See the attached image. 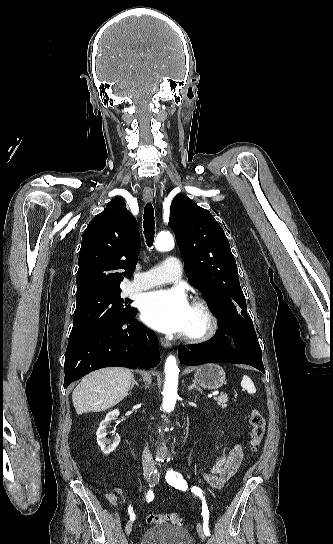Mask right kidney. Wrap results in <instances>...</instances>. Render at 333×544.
<instances>
[{
	"label": "right kidney",
	"mask_w": 333,
	"mask_h": 544,
	"mask_svg": "<svg viewBox=\"0 0 333 544\" xmlns=\"http://www.w3.org/2000/svg\"><path fill=\"white\" fill-rule=\"evenodd\" d=\"M118 416H119V410L117 409L112 410L111 412H108L105 419L100 423V426L96 432L97 443L100 446L101 451L105 455H108L112 451H114L120 442V437L118 434H115V432H113V435H114L113 440H108L106 438V435H107L106 428L110 425L111 420L115 419Z\"/></svg>",
	"instance_id": "obj_1"
}]
</instances>
